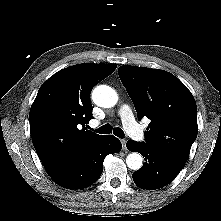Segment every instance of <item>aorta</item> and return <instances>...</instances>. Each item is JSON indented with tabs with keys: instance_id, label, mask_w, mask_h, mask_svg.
<instances>
[{
	"instance_id": "obj_1",
	"label": "aorta",
	"mask_w": 221,
	"mask_h": 221,
	"mask_svg": "<svg viewBox=\"0 0 221 221\" xmlns=\"http://www.w3.org/2000/svg\"><path fill=\"white\" fill-rule=\"evenodd\" d=\"M92 99L100 107L111 108L117 103L118 95L113 88L106 85H99L93 90ZM142 161V156L136 152L126 157V164L132 170H139L142 167Z\"/></svg>"
}]
</instances>
